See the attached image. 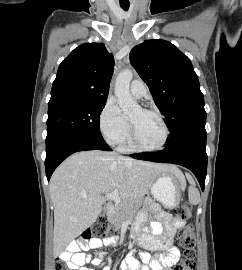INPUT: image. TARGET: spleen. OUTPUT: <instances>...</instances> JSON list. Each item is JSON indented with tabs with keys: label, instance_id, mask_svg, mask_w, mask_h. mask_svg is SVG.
<instances>
[{
	"label": "spleen",
	"instance_id": "spleen-1",
	"mask_svg": "<svg viewBox=\"0 0 242 270\" xmlns=\"http://www.w3.org/2000/svg\"><path fill=\"white\" fill-rule=\"evenodd\" d=\"M188 199L190 204L197 205L200 202V193L198 189L195 187L193 181H191V186L188 189Z\"/></svg>",
	"mask_w": 242,
	"mask_h": 270
}]
</instances>
